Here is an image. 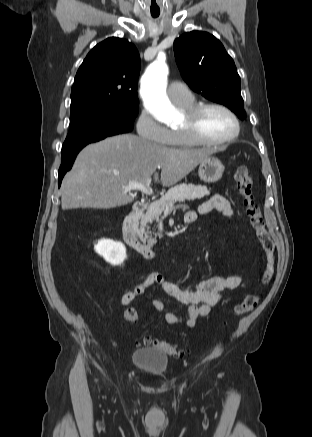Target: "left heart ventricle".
Wrapping results in <instances>:
<instances>
[{"label": "left heart ventricle", "instance_id": "obj_1", "mask_svg": "<svg viewBox=\"0 0 312 437\" xmlns=\"http://www.w3.org/2000/svg\"><path fill=\"white\" fill-rule=\"evenodd\" d=\"M186 122L184 115L180 126ZM200 134L209 140H219L229 136L234 131V122L231 117L218 108H209L198 120Z\"/></svg>", "mask_w": 312, "mask_h": 437}]
</instances>
